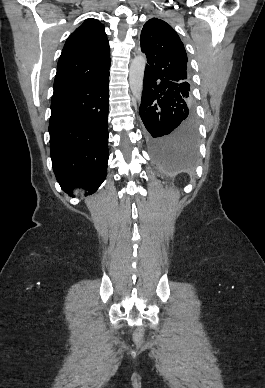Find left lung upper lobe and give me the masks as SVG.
<instances>
[{"label":"left lung upper lobe","mask_w":265,"mask_h":388,"mask_svg":"<svg viewBox=\"0 0 265 388\" xmlns=\"http://www.w3.org/2000/svg\"><path fill=\"white\" fill-rule=\"evenodd\" d=\"M140 43L141 51L146 54L148 62L145 70L180 84L183 99L193 107L187 55L175 30L163 20L152 18L143 26Z\"/></svg>","instance_id":"obj_1"}]
</instances>
